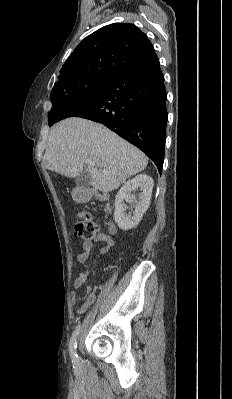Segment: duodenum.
I'll list each match as a JSON object with an SVG mask.
<instances>
[{"mask_svg": "<svg viewBox=\"0 0 232 399\" xmlns=\"http://www.w3.org/2000/svg\"><path fill=\"white\" fill-rule=\"evenodd\" d=\"M79 196H80V199H81L83 202H88V201H90V200L93 198L94 194H93V192H92L91 190H89V189H82V190L79 192ZM109 228H110V231H111V232H114L115 227H114L113 224H110Z\"/></svg>", "mask_w": 232, "mask_h": 399, "instance_id": "410a0bca", "label": "duodenum"}]
</instances>
